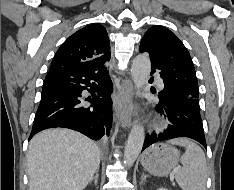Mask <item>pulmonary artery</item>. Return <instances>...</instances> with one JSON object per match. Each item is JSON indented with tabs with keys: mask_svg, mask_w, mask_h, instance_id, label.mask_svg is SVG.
I'll use <instances>...</instances> for the list:
<instances>
[{
	"mask_svg": "<svg viewBox=\"0 0 234 190\" xmlns=\"http://www.w3.org/2000/svg\"><path fill=\"white\" fill-rule=\"evenodd\" d=\"M157 84H158V87H159L160 89H162L163 86H164L162 80H158V81H157Z\"/></svg>",
	"mask_w": 234,
	"mask_h": 190,
	"instance_id": "1",
	"label": "pulmonary artery"
}]
</instances>
